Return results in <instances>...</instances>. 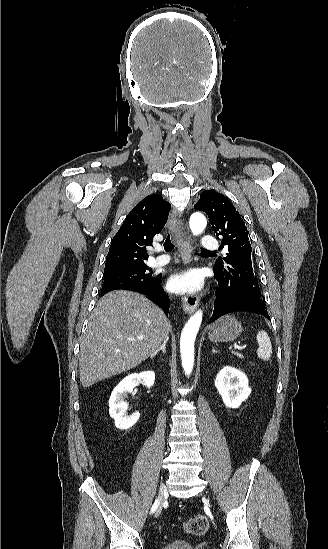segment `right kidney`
I'll list each match as a JSON object with an SVG mask.
<instances>
[{
	"label": "right kidney",
	"mask_w": 328,
	"mask_h": 549,
	"mask_svg": "<svg viewBox=\"0 0 328 549\" xmlns=\"http://www.w3.org/2000/svg\"><path fill=\"white\" fill-rule=\"evenodd\" d=\"M139 383H144L148 389L155 383V373L153 371H144V373H132L120 381L119 385L113 389L109 399V415L114 419L117 429H130L137 423L140 413L126 415L125 409L128 403H124L126 393H132L134 387Z\"/></svg>",
	"instance_id": "obj_1"
}]
</instances>
